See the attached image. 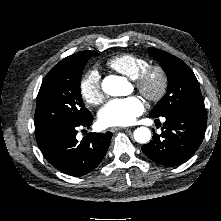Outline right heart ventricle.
Wrapping results in <instances>:
<instances>
[{"instance_id": "right-heart-ventricle-1", "label": "right heart ventricle", "mask_w": 221, "mask_h": 221, "mask_svg": "<svg viewBox=\"0 0 221 221\" xmlns=\"http://www.w3.org/2000/svg\"><path fill=\"white\" fill-rule=\"evenodd\" d=\"M147 66L148 61L146 58L130 53L116 55L107 61L108 68L133 80Z\"/></svg>"}]
</instances>
